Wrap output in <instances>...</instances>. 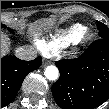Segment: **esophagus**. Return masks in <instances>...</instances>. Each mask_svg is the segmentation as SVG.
I'll use <instances>...</instances> for the list:
<instances>
[{
    "label": "esophagus",
    "instance_id": "esophagus-1",
    "mask_svg": "<svg viewBox=\"0 0 109 109\" xmlns=\"http://www.w3.org/2000/svg\"><path fill=\"white\" fill-rule=\"evenodd\" d=\"M48 64H50V62L48 60L44 59L43 63H42L43 67L47 66Z\"/></svg>",
    "mask_w": 109,
    "mask_h": 109
}]
</instances>
